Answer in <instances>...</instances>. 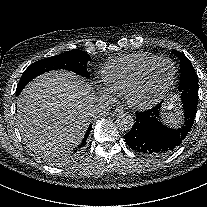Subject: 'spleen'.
I'll return each mask as SVG.
<instances>
[{"instance_id":"spleen-1","label":"spleen","mask_w":207,"mask_h":207,"mask_svg":"<svg viewBox=\"0 0 207 207\" xmlns=\"http://www.w3.org/2000/svg\"><path fill=\"white\" fill-rule=\"evenodd\" d=\"M167 128L170 132L172 133H177L181 130L182 128V123L179 119L177 118H172L168 121L167 123Z\"/></svg>"}]
</instances>
